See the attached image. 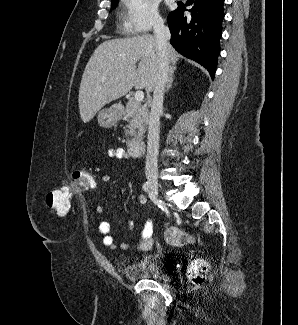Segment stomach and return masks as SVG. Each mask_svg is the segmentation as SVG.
I'll list each match as a JSON object with an SVG mask.
<instances>
[{
    "label": "stomach",
    "instance_id": "obj_1",
    "mask_svg": "<svg viewBox=\"0 0 298 325\" xmlns=\"http://www.w3.org/2000/svg\"><path fill=\"white\" fill-rule=\"evenodd\" d=\"M121 118V110L118 106H110V108H102L97 114V120L100 126L104 128H110L114 126Z\"/></svg>",
    "mask_w": 298,
    "mask_h": 325
}]
</instances>
